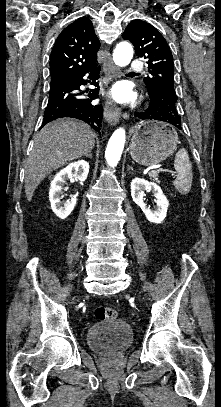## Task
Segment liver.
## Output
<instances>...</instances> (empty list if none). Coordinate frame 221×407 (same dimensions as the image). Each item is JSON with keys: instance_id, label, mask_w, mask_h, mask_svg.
<instances>
[{"instance_id": "liver-1", "label": "liver", "mask_w": 221, "mask_h": 407, "mask_svg": "<svg viewBox=\"0 0 221 407\" xmlns=\"http://www.w3.org/2000/svg\"><path fill=\"white\" fill-rule=\"evenodd\" d=\"M95 133L89 125L74 119H60L45 125L36 135L25 164V194L32 200L41 181L68 162L90 153Z\"/></svg>"}]
</instances>
